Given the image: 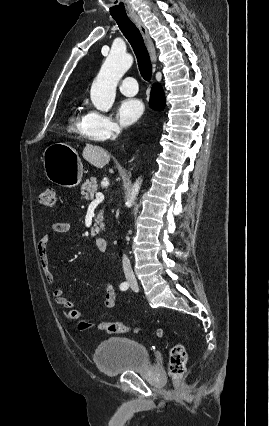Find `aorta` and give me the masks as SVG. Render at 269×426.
Returning a JSON list of instances; mask_svg holds the SVG:
<instances>
[{
    "label": "aorta",
    "mask_w": 269,
    "mask_h": 426,
    "mask_svg": "<svg viewBox=\"0 0 269 426\" xmlns=\"http://www.w3.org/2000/svg\"><path fill=\"white\" fill-rule=\"evenodd\" d=\"M132 63L131 55L123 51L112 50L110 52L91 87V101L98 110L108 112L111 109L116 96L117 84ZM141 182L142 180L139 178L134 183L126 206H131L134 197L140 190Z\"/></svg>",
    "instance_id": "762f6f07"
}]
</instances>
